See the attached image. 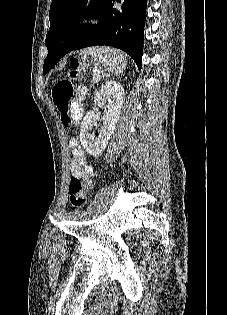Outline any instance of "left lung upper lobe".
Wrapping results in <instances>:
<instances>
[{"mask_svg":"<svg viewBox=\"0 0 227 315\" xmlns=\"http://www.w3.org/2000/svg\"><path fill=\"white\" fill-rule=\"evenodd\" d=\"M108 0H53L50 6V28L46 41L61 38L70 46L79 42L89 31L90 25L80 24L86 18L100 15ZM43 74H46L43 69Z\"/></svg>","mask_w":227,"mask_h":315,"instance_id":"5c2ea615","label":"left lung upper lobe"}]
</instances>
